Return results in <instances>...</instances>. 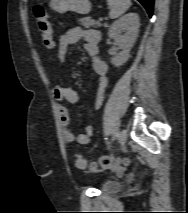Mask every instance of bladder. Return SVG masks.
I'll list each match as a JSON object with an SVG mask.
<instances>
[{"label":"bladder","mask_w":188,"mask_h":213,"mask_svg":"<svg viewBox=\"0 0 188 213\" xmlns=\"http://www.w3.org/2000/svg\"><path fill=\"white\" fill-rule=\"evenodd\" d=\"M121 189V183L116 180L105 181L101 186V191L104 193H115Z\"/></svg>","instance_id":"1"}]
</instances>
